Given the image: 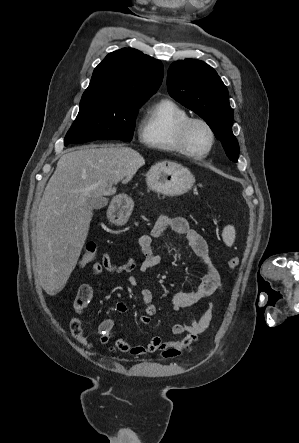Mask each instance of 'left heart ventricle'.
Returning a JSON list of instances; mask_svg holds the SVG:
<instances>
[{"label": "left heart ventricle", "mask_w": 299, "mask_h": 443, "mask_svg": "<svg viewBox=\"0 0 299 443\" xmlns=\"http://www.w3.org/2000/svg\"><path fill=\"white\" fill-rule=\"evenodd\" d=\"M210 144L208 130L200 123H194L188 133L189 148L197 153L204 152Z\"/></svg>", "instance_id": "obj_1"}]
</instances>
